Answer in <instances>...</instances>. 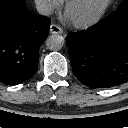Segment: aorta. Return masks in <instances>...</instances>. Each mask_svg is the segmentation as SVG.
I'll use <instances>...</instances> for the list:
<instances>
[{
  "instance_id": "762f6f07",
  "label": "aorta",
  "mask_w": 128,
  "mask_h": 128,
  "mask_svg": "<svg viewBox=\"0 0 128 128\" xmlns=\"http://www.w3.org/2000/svg\"><path fill=\"white\" fill-rule=\"evenodd\" d=\"M65 44V39L62 35L52 34L46 40V45L48 49L52 51H58L62 49Z\"/></svg>"
}]
</instances>
